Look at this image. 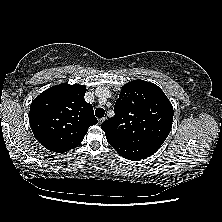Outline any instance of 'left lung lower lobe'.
<instances>
[{
	"instance_id": "1",
	"label": "left lung lower lobe",
	"mask_w": 222,
	"mask_h": 222,
	"mask_svg": "<svg viewBox=\"0 0 222 222\" xmlns=\"http://www.w3.org/2000/svg\"><path fill=\"white\" fill-rule=\"evenodd\" d=\"M110 145L124 158L138 161L153 155L158 149L147 146H127L109 142Z\"/></svg>"
}]
</instances>
